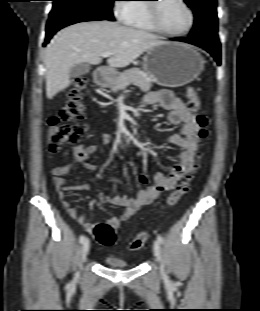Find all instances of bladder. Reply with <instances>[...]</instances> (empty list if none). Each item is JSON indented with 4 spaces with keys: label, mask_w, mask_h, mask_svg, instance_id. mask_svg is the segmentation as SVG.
Returning <instances> with one entry per match:
<instances>
[{
    "label": "bladder",
    "mask_w": 260,
    "mask_h": 311,
    "mask_svg": "<svg viewBox=\"0 0 260 311\" xmlns=\"http://www.w3.org/2000/svg\"><path fill=\"white\" fill-rule=\"evenodd\" d=\"M102 261L110 266L111 268L115 269H126L130 268V264L122 260L115 254H106L103 256Z\"/></svg>",
    "instance_id": "bladder-1"
}]
</instances>
